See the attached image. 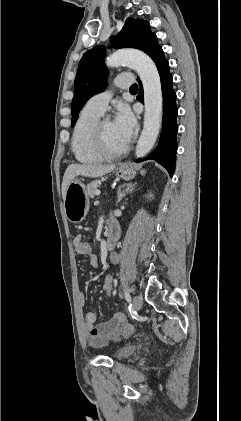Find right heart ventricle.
Segmentation results:
<instances>
[{
  "instance_id": "right-heart-ventricle-1",
  "label": "right heart ventricle",
  "mask_w": 241,
  "mask_h": 421,
  "mask_svg": "<svg viewBox=\"0 0 241 421\" xmlns=\"http://www.w3.org/2000/svg\"><path fill=\"white\" fill-rule=\"evenodd\" d=\"M102 114L85 106L76 121L71 139V149L76 160L83 164L103 161L93 142L94 129Z\"/></svg>"
}]
</instances>
